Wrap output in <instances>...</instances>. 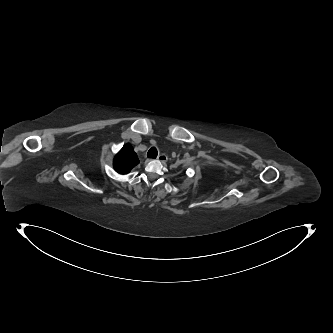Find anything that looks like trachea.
<instances>
[{"label":"trachea","instance_id":"3493384b","mask_svg":"<svg viewBox=\"0 0 333 333\" xmlns=\"http://www.w3.org/2000/svg\"><path fill=\"white\" fill-rule=\"evenodd\" d=\"M157 155H158V151L155 147L150 148V150L147 153L148 158L155 159L157 157Z\"/></svg>","mask_w":333,"mask_h":333}]
</instances>
